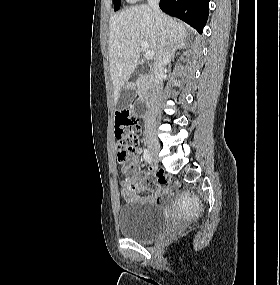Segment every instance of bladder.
I'll return each mask as SVG.
<instances>
[{"mask_svg": "<svg viewBox=\"0 0 280 285\" xmlns=\"http://www.w3.org/2000/svg\"><path fill=\"white\" fill-rule=\"evenodd\" d=\"M117 219L120 233L139 241L158 235L168 223L160 209L141 200L121 205Z\"/></svg>", "mask_w": 280, "mask_h": 285, "instance_id": "1", "label": "bladder"}]
</instances>
